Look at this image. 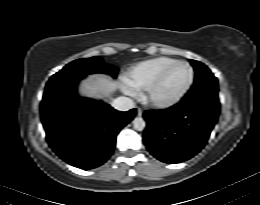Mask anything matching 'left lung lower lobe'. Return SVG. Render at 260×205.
Instances as JSON below:
<instances>
[{
    "instance_id": "1",
    "label": "left lung lower lobe",
    "mask_w": 260,
    "mask_h": 205,
    "mask_svg": "<svg viewBox=\"0 0 260 205\" xmlns=\"http://www.w3.org/2000/svg\"><path fill=\"white\" fill-rule=\"evenodd\" d=\"M218 114V105L186 99L168 109L146 111L144 143L164 163L183 162L204 147Z\"/></svg>"
}]
</instances>
